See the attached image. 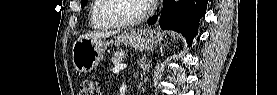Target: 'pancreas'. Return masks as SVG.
Here are the masks:
<instances>
[{
  "instance_id": "obj_1",
  "label": "pancreas",
  "mask_w": 277,
  "mask_h": 95,
  "mask_svg": "<svg viewBox=\"0 0 277 95\" xmlns=\"http://www.w3.org/2000/svg\"><path fill=\"white\" fill-rule=\"evenodd\" d=\"M124 57H125V54H124V52H123L122 50L116 51V52L112 55L111 62H112L114 65H118V64H120L121 62H123Z\"/></svg>"
}]
</instances>
